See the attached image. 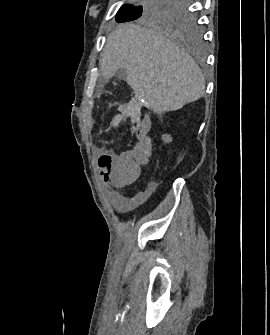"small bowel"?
Segmentation results:
<instances>
[{
    "label": "small bowel",
    "mask_w": 270,
    "mask_h": 335,
    "mask_svg": "<svg viewBox=\"0 0 270 335\" xmlns=\"http://www.w3.org/2000/svg\"><path fill=\"white\" fill-rule=\"evenodd\" d=\"M151 129V119L147 116L137 122V127H132V134H137L140 144H134L133 149H110L109 154H95L93 168L101 173L103 181L107 184L111 178H128L121 181L120 187L127 186L140 176V169L148 165L146 154H150L152 140L148 138ZM121 156V158H114ZM114 203L122 211L129 210L140 198V195L127 197L119 191L110 192Z\"/></svg>",
    "instance_id": "1"
}]
</instances>
